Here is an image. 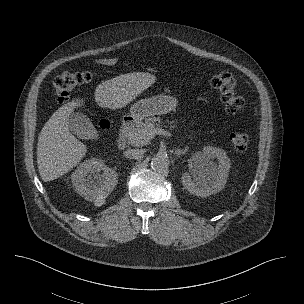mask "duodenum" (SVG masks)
<instances>
[{
  "mask_svg": "<svg viewBox=\"0 0 304 304\" xmlns=\"http://www.w3.org/2000/svg\"><path fill=\"white\" fill-rule=\"evenodd\" d=\"M135 123L134 118L127 117L125 118L120 126L119 135L117 140V145L120 149H125L127 145V136L130 130L133 128Z\"/></svg>",
  "mask_w": 304,
  "mask_h": 304,
  "instance_id": "duodenum-1",
  "label": "duodenum"
}]
</instances>
